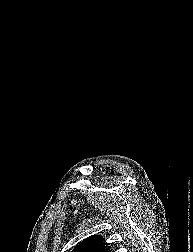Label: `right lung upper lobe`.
<instances>
[{"label": "right lung upper lobe", "instance_id": "cb5924a9", "mask_svg": "<svg viewBox=\"0 0 193 252\" xmlns=\"http://www.w3.org/2000/svg\"><path fill=\"white\" fill-rule=\"evenodd\" d=\"M73 252H106V249L103 246V238L94 235L80 243Z\"/></svg>", "mask_w": 193, "mask_h": 252}]
</instances>
